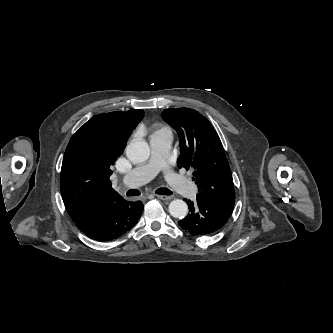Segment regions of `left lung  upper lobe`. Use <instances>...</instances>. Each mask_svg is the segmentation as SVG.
Segmentation results:
<instances>
[{
	"instance_id": "left-lung-upper-lobe-1",
	"label": "left lung upper lobe",
	"mask_w": 333,
	"mask_h": 333,
	"mask_svg": "<svg viewBox=\"0 0 333 333\" xmlns=\"http://www.w3.org/2000/svg\"><path fill=\"white\" fill-rule=\"evenodd\" d=\"M163 119L179 134L178 168L193 169L198 195L220 204H235L230 167L220 138L210 122L189 108L165 109Z\"/></svg>"
}]
</instances>
